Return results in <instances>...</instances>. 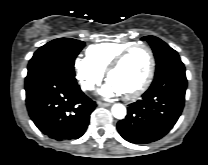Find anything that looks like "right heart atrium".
<instances>
[{
    "mask_svg": "<svg viewBox=\"0 0 208 165\" xmlns=\"http://www.w3.org/2000/svg\"><path fill=\"white\" fill-rule=\"evenodd\" d=\"M74 70L78 84L84 91H91L103 78V72L87 57L77 56L74 59Z\"/></svg>",
    "mask_w": 208,
    "mask_h": 165,
    "instance_id": "1",
    "label": "right heart atrium"
}]
</instances>
